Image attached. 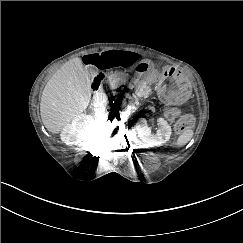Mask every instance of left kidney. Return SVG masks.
<instances>
[{
	"label": "left kidney",
	"instance_id": "obj_1",
	"mask_svg": "<svg viewBox=\"0 0 243 243\" xmlns=\"http://www.w3.org/2000/svg\"><path fill=\"white\" fill-rule=\"evenodd\" d=\"M157 123L160 127L156 133H152L145 119L136 123L138 137L147 147H160L167 143L171 136V127L164 118H159Z\"/></svg>",
	"mask_w": 243,
	"mask_h": 243
}]
</instances>
